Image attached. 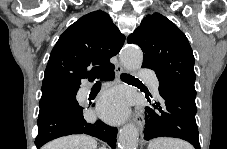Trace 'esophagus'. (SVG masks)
<instances>
[{"instance_id":"34e87169","label":"esophagus","mask_w":227,"mask_h":149,"mask_svg":"<svg viewBox=\"0 0 227 149\" xmlns=\"http://www.w3.org/2000/svg\"><path fill=\"white\" fill-rule=\"evenodd\" d=\"M115 72H116L117 77H119L124 72V68H123V66L120 63H118L115 66ZM129 118L130 119H134L139 131L142 132L144 124H145V121H144L143 117L139 113H137L136 115H134L132 113V114L129 115Z\"/></svg>"}]
</instances>
